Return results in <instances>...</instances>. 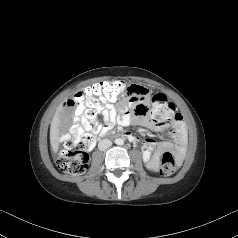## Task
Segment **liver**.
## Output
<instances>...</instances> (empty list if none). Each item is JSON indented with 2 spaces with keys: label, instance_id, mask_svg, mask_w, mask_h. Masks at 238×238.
Instances as JSON below:
<instances>
[{
  "label": "liver",
  "instance_id": "liver-1",
  "mask_svg": "<svg viewBox=\"0 0 238 238\" xmlns=\"http://www.w3.org/2000/svg\"><path fill=\"white\" fill-rule=\"evenodd\" d=\"M62 109H63L62 104H60L55 115H54V118H53V121L51 124L50 142H51L52 150L54 152H57L58 148H59V129H58V127H59V117L62 112Z\"/></svg>",
  "mask_w": 238,
  "mask_h": 238
}]
</instances>
